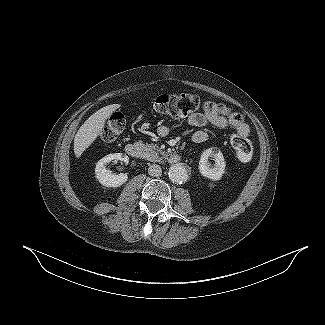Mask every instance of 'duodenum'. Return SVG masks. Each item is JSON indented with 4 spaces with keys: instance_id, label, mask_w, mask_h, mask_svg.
Instances as JSON below:
<instances>
[{
    "instance_id": "1",
    "label": "duodenum",
    "mask_w": 325,
    "mask_h": 325,
    "mask_svg": "<svg viewBox=\"0 0 325 325\" xmlns=\"http://www.w3.org/2000/svg\"><path fill=\"white\" fill-rule=\"evenodd\" d=\"M125 150H126V153L132 158L138 159V158H141V156H142V148L139 144L129 143L126 145ZM180 160H181V157L177 153H172L168 157V161L170 163H178V162H180Z\"/></svg>"
}]
</instances>
